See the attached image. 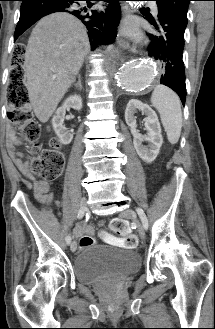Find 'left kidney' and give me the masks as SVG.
<instances>
[{
  "label": "left kidney",
  "instance_id": "obj_1",
  "mask_svg": "<svg viewBox=\"0 0 215 329\" xmlns=\"http://www.w3.org/2000/svg\"><path fill=\"white\" fill-rule=\"evenodd\" d=\"M137 110H140L142 114L146 115L144 121L147 134L144 136L136 129L137 124L134 114ZM125 121L131 129L134 148L139 157L147 163L154 161L163 143L161 127L155 111L149 105L137 99H131L125 110ZM143 141L149 142V147L143 146Z\"/></svg>",
  "mask_w": 215,
  "mask_h": 329
}]
</instances>
